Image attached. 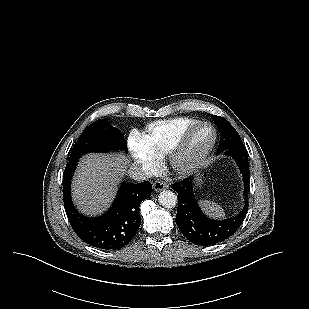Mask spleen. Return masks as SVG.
Here are the masks:
<instances>
[{"mask_svg": "<svg viewBox=\"0 0 309 309\" xmlns=\"http://www.w3.org/2000/svg\"><path fill=\"white\" fill-rule=\"evenodd\" d=\"M200 205L211 217L223 218L225 216L223 208L215 202L204 200L200 201Z\"/></svg>", "mask_w": 309, "mask_h": 309, "instance_id": "obj_1", "label": "spleen"}]
</instances>
